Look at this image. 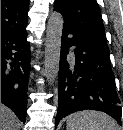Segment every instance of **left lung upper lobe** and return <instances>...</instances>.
I'll list each match as a JSON object with an SVG mask.
<instances>
[{
    "mask_svg": "<svg viewBox=\"0 0 123 130\" xmlns=\"http://www.w3.org/2000/svg\"><path fill=\"white\" fill-rule=\"evenodd\" d=\"M54 9L64 18V26L76 36L106 47L102 16L96 0H55Z\"/></svg>",
    "mask_w": 123,
    "mask_h": 130,
    "instance_id": "left-lung-upper-lobe-1",
    "label": "left lung upper lobe"
}]
</instances>
